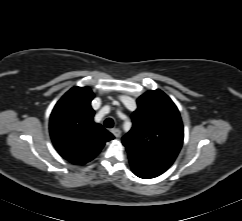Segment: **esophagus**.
<instances>
[{
    "mask_svg": "<svg viewBox=\"0 0 242 221\" xmlns=\"http://www.w3.org/2000/svg\"><path fill=\"white\" fill-rule=\"evenodd\" d=\"M111 132L116 138H119L121 136V131L118 128L112 129Z\"/></svg>",
    "mask_w": 242,
    "mask_h": 221,
    "instance_id": "34e87169",
    "label": "esophagus"
}]
</instances>
